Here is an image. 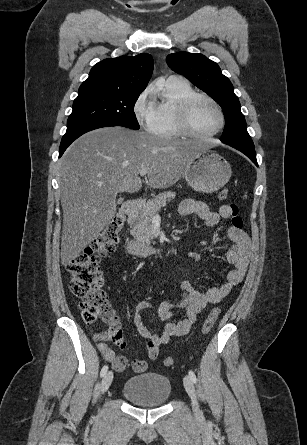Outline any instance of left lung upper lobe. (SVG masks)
Here are the masks:
<instances>
[{
    "label": "left lung upper lobe",
    "mask_w": 307,
    "mask_h": 445,
    "mask_svg": "<svg viewBox=\"0 0 307 445\" xmlns=\"http://www.w3.org/2000/svg\"><path fill=\"white\" fill-rule=\"evenodd\" d=\"M166 62L172 70L183 74L221 106L226 121L221 137L223 143L254 145L247 132L238 97L217 63L202 54L188 52L170 54Z\"/></svg>",
    "instance_id": "obj_1"
}]
</instances>
